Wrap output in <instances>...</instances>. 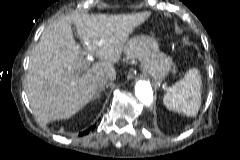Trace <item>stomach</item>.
<instances>
[{"label":"stomach","instance_id":"obj_1","mask_svg":"<svg viewBox=\"0 0 240 160\" xmlns=\"http://www.w3.org/2000/svg\"><path fill=\"white\" fill-rule=\"evenodd\" d=\"M128 57H136L142 63L145 73L154 79L162 80L171 69V59L160 51L158 42L150 36H137L130 40L126 49Z\"/></svg>","mask_w":240,"mask_h":160}]
</instances>
